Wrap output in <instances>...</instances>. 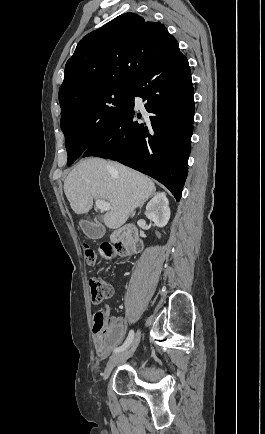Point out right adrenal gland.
<instances>
[{"label":"right adrenal gland","instance_id":"1","mask_svg":"<svg viewBox=\"0 0 265 434\" xmlns=\"http://www.w3.org/2000/svg\"><path fill=\"white\" fill-rule=\"evenodd\" d=\"M142 206H143V204H141V206H140V210H141Z\"/></svg>","mask_w":265,"mask_h":434}]
</instances>
